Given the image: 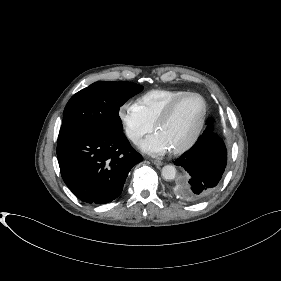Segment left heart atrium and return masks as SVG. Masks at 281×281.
<instances>
[{
    "instance_id": "obj_1",
    "label": "left heart atrium",
    "mask_w": 281,
    "mask_h": 281,
    "mask_svg": "<svg viewBox=\"0 0 281 281\" xmlns=\"http://www.w3.org/2000/svg\"><path fill=\"white\" fill-rule=\"evenodd\" d=\"M140 147L150 154H164L169 151V147L157 133L146 138Z\"/></svg>"
}]
</instances>
